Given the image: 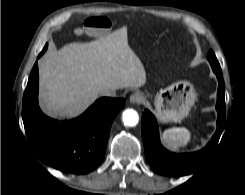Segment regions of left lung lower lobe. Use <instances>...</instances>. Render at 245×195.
Segmentation results:
<instances>
[{"instance_id": "0a47b994", "label": "left lung lower lobe", "mask_w": 245, "mask_h": 195, "mask_svg": "<svg viewBox=\"0 0 245 195\" xmlns=\"http://www.w3.org/2000/svg\"><path fill=\"white\" fill-rule=\"evenodd\" d=\"M217 76L219 87L216 109L218 112L217 131L212 140L202 150L194 153L175 154L166 150L160 143L158 125L154 115L145 110L142 114V138L146 160L158 174L179 177L196 170L200 161L217 145L225 124V85L221 71L213 70Z\"/></svg>"}]
</instances>
